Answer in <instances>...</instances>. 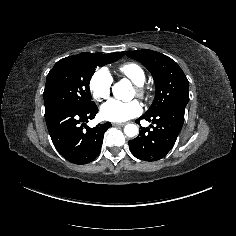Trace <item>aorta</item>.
<instances>
[{
    "mask_svg": "<svg viewBox=\"0 0 236 236\" xmlns=\"http://www.w3.org/2000/svg\"><path fill=\"white\" fill-rule=\"evenodd\" d=\"M118 85H119V83L115 84L114 87L118 86ZM138 132H139V129L135 124H127L124 127V133L128 137H134V136L138 135Z\"/></svg>",
    "mask_w": 236,
    "mask_h": 236,
    "instance_id": "1",
    "label": "aorta"
}]
</instances>
